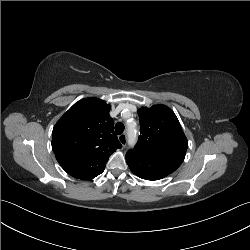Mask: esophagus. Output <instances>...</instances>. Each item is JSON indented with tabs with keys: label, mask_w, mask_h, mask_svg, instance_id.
<instances>
[{
	"label": "esophagus",
	"mask_w": 250,
	"mask_h": 250,
	"mask_svg": "<svg viewBox=\"0 0 250 250\" xmlns=\"http://www.w3.org/2000/svg\"><path fill=\"white\" fill-rule=\"evenodd\" d=\"M118 140L119 142L122 144L123 147L126 146V143H127V136L125 133L121 134L118 136Z\"/></svg>",
	"instance_id": "obj_1"
}]
</instances>
